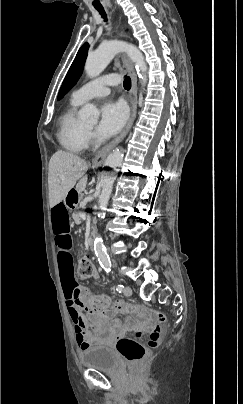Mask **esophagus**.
Returning <instances> with one entry per match:
<instances>
[{
    "mask_svg": "<svg viewBox=\"0 0 243 404\" xmlns=\"http://www.w3.org/2000/svg\"><path fill=\"white\" fill-rule=\"evenodd\" d=\"M121 35L125 36V34L123 32L121 33ZM121 58H122L123 65L127 69L128 73L130 75V78L132 80L131 115H130V118H129L127 124L125 125L124 129L120 133V135H118V137H116L114 140L109 142L107 145H104V147H102V149L99 150V152H97V154L93 160L94 164H96V165H101L104 162L107 155L109 154V152L126 137V135L128 134L129 130L131 129V127L135 121L136 114H137L138 86H137L136 73H135L134 66H133L132 62L130 61V59L125 54H123Z\"/></svg>",
    "mask_w": 243,
    "mask_h": 404,
    "instance_id": "esophagus-1",
    "label": "esophagus"
}]
</instances>
